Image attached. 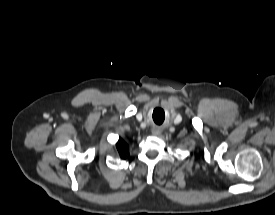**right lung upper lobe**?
I'll use <instances>...</instances> for the list:
<instances>
[{"label":"right lung upper lobe","instance_id":"obj_1","mask_svg":"<svg viewBox=\"0 0 275 215\" xmlns=\"http://www.w3.org/2000/svg\"><path fill=\"white\" fill-rule=\"evenodd\" d=\"M116 147L119 151L120 156L124 159L127 158V156L129 155L128 145L123 140L119 139Z\"/></svg>","mask_w":275,"mask_h":215}]
</instances>
